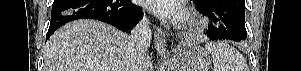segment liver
<instances>
[{
  "instance_id": "1",
  "label": "liver",
  "mask_w": 301,
  "mask_h": 71,
  "mask_svg": "<svg viewBox=\"0 0 301 71\" xmlns=\"http://www.w3.org/2000/svg\"><path fill=\"white\" fill-rule=\"evenodd\" d=\"M130 36L95 20H76L59 28L47 41L43 71H125ZM144 71L151 66L143 56Z\"/></svg>"
}]
</instances>
